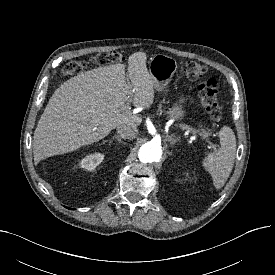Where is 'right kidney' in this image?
I'll return each instance as SVG.
<instances>
[{
    "label": "right kidney",
    "instance_id": "right-kidney-1",
    "mask_svg": "<svg viewBox=\"0 0 275 275\" xmlns=\"http://www.w3.org/2000/svg\"><path fill=\"white\" fill-rule=\"evenodd\" d=\"M103 159L104 155L102 153L87 155L80 161V167L92 171L103 161Z\"/></svg>",
    "mask_w": 275,
    "mask_h": 275
}]
</instances>
